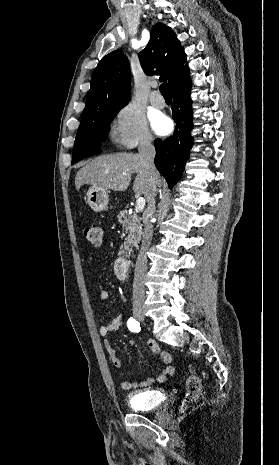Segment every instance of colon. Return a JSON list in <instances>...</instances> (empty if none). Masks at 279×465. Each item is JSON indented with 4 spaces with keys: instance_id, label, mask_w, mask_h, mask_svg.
<instances>
[{
    "instance_id": "1",
    "label": "colon",
    "mask_w": 279,
    "mask_h": 465,
    "mask_svg": "<svg viewBox=\"0 0 279 465\" xmlns=\"http://www.w3.org/2000/svg\"><path fill=\"white\" fill-rule=\"evenodd\" d=\"M104 230L100 226H90L85 230L86 239L95 247L102 244ZM201 393V379L194 368L190 369L185 384V402L192 403L196 401Z\"/></svg>"
}]
</instances>
